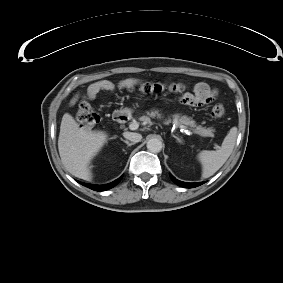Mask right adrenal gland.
I'll use <instances>...</instances> for the list:
<instances>
[{"label": "right adrenal gland", "instance_id": "right-adrenal-gland-1", "mask_svg": "<svg viewBox=\"0 0 283 283\" xmlns=\"http://www.w3.org/2000/svg\"><path fill=\"white\" fill-rule=\"evenodd\" d=\"M121 140H122L124 143H126L128 146H131V145H133V144H134V143H130L129 141L124 140V139H122V138H121Z\"/></svg>", "mask_w": 283, "mask_h": 283}]
</instances>
